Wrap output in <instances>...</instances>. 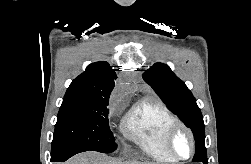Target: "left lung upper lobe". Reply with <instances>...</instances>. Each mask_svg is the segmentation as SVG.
<instances>
[{
	"label": "left lung upper lobe",
	"instance_id": "left-lung-upper-lobe-1",
	"mask_svg": "<svg viewBox=\"0 0 251 164\" xmlns=\"http://www.w3.org/2000/svg\"><path fill=\"white\" fill-rule=\"evenodd\" d=\"M143 79L175 115L182 118L192 130L196 140L193 162L208 164L205 148V130L200 108L191 91L167 66L155 63L144 74Z\"/></svg>",
	"mask_w": 251,
	"mask_h": 164
}]
</instances>
